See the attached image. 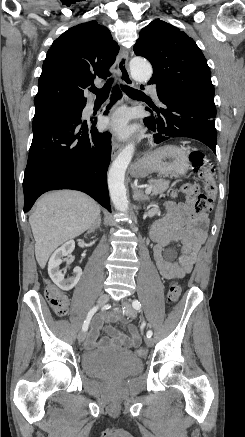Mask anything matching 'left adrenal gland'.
Listing matches in <instances>:
<instances>
[{"label":"left adrenal gland","mask_w":245,"mask_h":437,"mask_svg":"<svg viewBox=\"0 0 245 437\" xmlns=\"http://www.w3.org/2000/svg\"><path fill=\"white\" fill-rule=\"evenodd\" d=\"M131 187L133 190V199L135 201H138L139 203L149 201L148 196H146L141 189L137 188L134 185H132Z\"/></svg>","instance_id":"1"}]
</instances>
